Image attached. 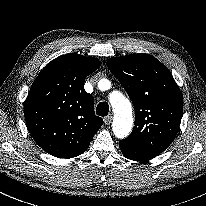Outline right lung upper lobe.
I'll return each instance as SVG.
<instances>
[{
    "mask_svg": "<svg viewBox=\"0 0 206 206\" xmlns=\"http://www.w3.org/2000/svg\"><path fill=\"white\" fill-rule=\"evenodd\" d=\"M99 67L96 58L70 53L51 61L35 79L24 116L35 142L47 153L58 158L82 154L103 124L83 85Z\"/></svg>",
    "mask_w": 206,
    "mask_h": 206,
    "instance_id": "1",
    "label": "right lung upper lobe"
}]
</instances>
